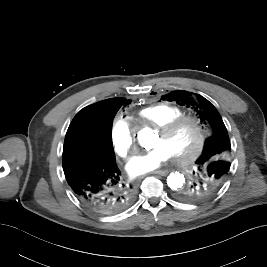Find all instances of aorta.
Here are the masks:
<instances>
[{
    "mask_svg": "<svg viewBox=\"0 0 267 267\" xmlns=\"http://www.w3.org/2000/svg\"><path fill=\"white\" fill-rule=\"evenodd\" d=\"M156 139V135L149 128H144L138 132V141L141 146L151 148L152 142ZM185 184V177L180 172H172L167 177V185L170 189L180 190Z\"/></svg>",
    "mask_w": 267,
    "mask_h": 267,
    "instance_id": "obj_1",
    "label": "aorta"
}]
</instances>
